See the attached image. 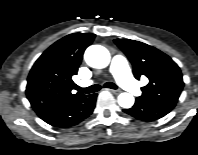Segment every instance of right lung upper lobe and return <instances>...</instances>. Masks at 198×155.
I'll return each mask as SVG.
<instances>
[{
    "label": "right lung upper lobe",
    "mask_w": 198,
    "mask_h": 155,
    "mask_svg": "<svg viewBox=\"0 0 198 155\" xmlns=\"http://www.w3.org/2000/svg\"><path fill=\"white\" fill-rule=\"evenodd\" d=\"M95 35L73 33L51 45L35 62L26 95L36 112L70 101L82 93H72V77L77 74L85 49Z\"/></svg>",
    "instance_id": "cb5924a9"
}]
</instances>
